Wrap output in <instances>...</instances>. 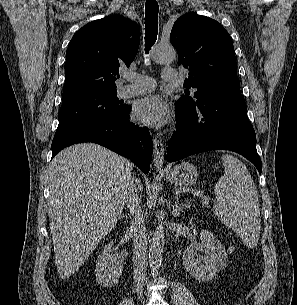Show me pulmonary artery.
Segmentation results:
<instances>
[{"instance_id":"pulmonary-artery-1","label":"pulmonary artery","mask_w":297,"mask_h":305,"mask_svg":"<svg viewBox=\"0 0 297 305\" xmlns=\"http://www.w3.org/2000/svg\"><path fill=\"white\" fill-rule=\"evenodd\" d=\"M162 78L165 82H177L178 72L173 69H164ZM124 79L133 82V84L125 85L120 88L119 95L121 97H132L149 93L155 89V80L151 77L144 76L137 73H127Z\"/></svg>"}]
</instances>
